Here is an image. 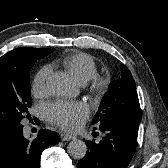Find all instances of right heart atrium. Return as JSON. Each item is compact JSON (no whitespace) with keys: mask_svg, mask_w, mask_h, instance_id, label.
Instances as JSON below:
<instances>
[{"mask_svg":"<svg viewBox=\"0 0 168 168\" xmlns=\"http://www.w3.org/2000/svg\"><path fill=\"white\" fill-rule=\"evenodd\" d=\"M51 74L49 67L41 68L35 75L31 91L35 97H43L48 92V80Z\"/></svg>","mask_w":168,"mask_h":168,"instance_id":"1","label":"right heart atrium"}]
</instances>
